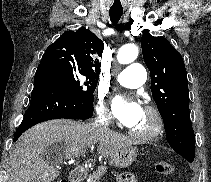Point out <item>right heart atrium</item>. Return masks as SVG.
I'll return each mask as SVG.
<instances>
[{
	"instance_id": "right-heart-atrium-1",
	"label": "right heart atrium",
	"mask_w": 211,
	"mask_h": 182,
	"mask_svg": "<svg viewBox=\"0 0 211 182\" xmlns=\"http://www.w3.org/2000/svg\"><path fill=\"white\" fill-rule=\"evenodd\" d=\"M94 111L99 123L108 124L112 120V114L100 94L97 96Z\"/></svg>"
}]
</instances>
